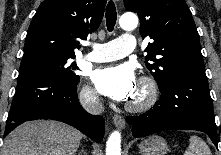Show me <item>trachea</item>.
<instances>
[{
	"mask_svg": "<svg viewBox=\"0 0 221 155\" xmlns=\"http://www.w3.org/2000/svg\"><path fill=\"white\" fill-rule=\"evenodd\" d=\"M116 20H117V12L115 4L113 1H109L106 7V25L108 31L111 32L114 29Z\"/></svg>",
	"mask_w": 221,
	"mask_h": 155,
	"instance_id": "1",
	"label": "trachea"
}]
</instances>
